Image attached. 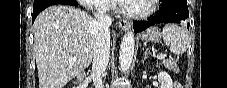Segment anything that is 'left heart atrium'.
I'll list each match as a JSON object with an SVG mask.
<instances>
[{
  "label": "left heart atrium",
  "instance_id": "obj_1",
  "mask_svg": "<svg viewBox=\"0 0 227 88\" xmlns=\"http://www.w3.org/2000/svg\"><path fill=\"white\" fill-rule=\"evenodd\" d=\"M120 2L123 3V4H127V3L131 2V1H128V0H121Z\"/></svg>",
  "mask_w": 227,
  "mask_h": 88
}]
</instances>
